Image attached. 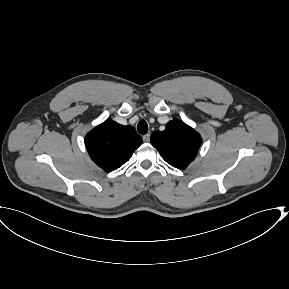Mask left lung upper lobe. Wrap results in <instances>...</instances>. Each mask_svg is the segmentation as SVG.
I'll return each instance as SVG.
<instances>
[{"mask_svg": "<svg viewBox=\"0 0 289 289\" xmlns=\"http://www.w3.org/2000/svg\"><path fill=\"white\" fill-rule=\"evenodd\" d=\"M202 139L199 133L180 120L170 121L164 131L151 135V143L171 166L185 169L196 157Z\"/></svg>", "mask_w": 289, "mask_h": 289, "instance_id": "left-lung-upper-lobe-1", "label": "left lung upper lobe"}]
</instances>
